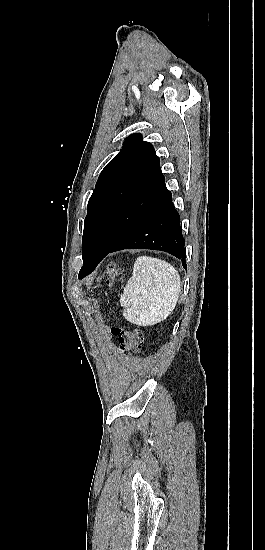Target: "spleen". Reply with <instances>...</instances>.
Listing matches in <instances>:
<instances>
[{
	"label": "spleen",
	"mask_w": 265,
	"mask_h": 550,
	"mask_svg": "<svg viewBox=\"0 0 265 550\" xmlns=\"http://www.w3.org/2000/svg\"><path fill=\"white\" fill-rule=\"evenodd\" d=\"M180 291L179 273L170 263L140 256L120 298L123 315L139 326L155 325L174 310Z\"/></svg>",
	"instance_id": "spleen-1"
}]
</instances>
